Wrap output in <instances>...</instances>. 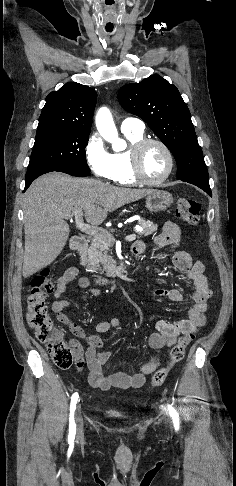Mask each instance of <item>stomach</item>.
Wrapping results in <instances>:
<instances>
[{"label":"stomach","mask_w":236,"mask_h":486,"mask_svg":"<svg viewBox=\"0 0 236 486\" xmlns=\"http://www.w3.org/2000/svg\"><path fill=\"white\" fill-rule=\"evenodd\" d=\"M146 208L151 212L166 210L172 203V195L164 190H154L146 197Z\"/></svg>","instance_id":"stomach-1"}]
</instances>
